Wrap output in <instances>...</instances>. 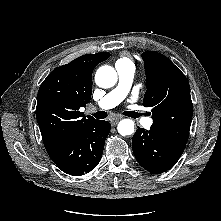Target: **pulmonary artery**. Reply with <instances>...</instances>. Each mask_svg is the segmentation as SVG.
<instances>
[{"instance_id":"e3ab8cb5","label":"pulmonary artery","mask_w":221,"mask_h":221,"mask_svg":"<svg viewBox=\"0 0 221 221\" xmlns=\"http://www.w3.org/2000/svg\"><path fill=\"white\" fill-rule=\"evenodd\" d=\"M116 70L118 73V84L98 102L97 108L100 110H108L115 107L124 100L130 90L135 73L134 66L118 65ZM141 122L146 127H150L153 124L151 118H143Z\"/></svg>"}]
</instances>
